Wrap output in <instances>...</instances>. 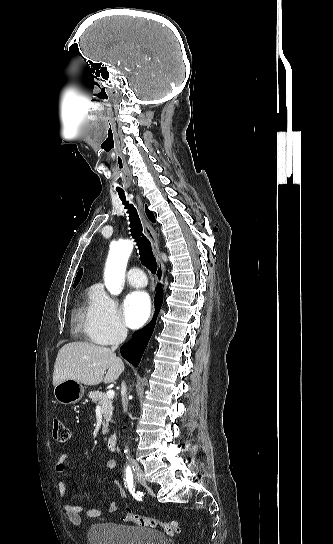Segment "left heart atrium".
<instances>
[{"label":"left heart atrium","instance_id":"1","mask_svg":"<svg viewBox=\"0 0 333 544\" xmlns=\"http://www.w3.org/2000/svg\"><path fill=\"white\" fill-rule=\"evenodd\" d=\"M150 298L144 291L130 293L123 304V315L126 324L136 329L141 327L150 315Z\"/></svg>","mask_w":333,"mask_h":544}]
</instances>
